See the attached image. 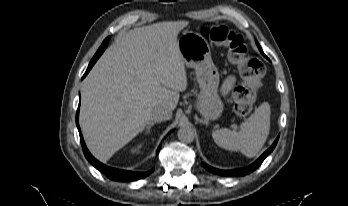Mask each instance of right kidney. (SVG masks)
Segmentation results:
<instances>
[{"instance_id":"obj_1","label":"right kidney","mask_w":348,"mask_h":206,"mask_svg":"<svg viewBox=\"0 0 348 206\" xmlns=\"http://www.w3.org/2000/svg\"><path fill=\"white\" fill-rule=\"evenodd\" d=\"M141 148V145H138L137 147L132 149V152L135 153Z\"/></svg>"}]
</instances>
